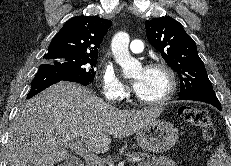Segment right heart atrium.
<instances>
[{
	"label": "right heart atrium",
	"mask_w": 231,
	"mask_h": 166,
	"mask_svg": "<svg viewBox=\"0 0 231 166\" xmlns=\"http://www.w3.org/2000/svg\"><path fill=\"white\" fill-rule=\"evenodd\" d=\"M102 92L111 100L121 99L127 93L125 84L111 66L105 67L102 72Z\"/></svg>",
	"instance_id": "1"
}]
</instances>
